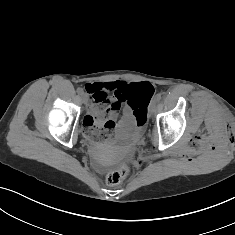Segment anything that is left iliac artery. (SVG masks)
<instances>
[{
    "label": "left iliac artery",
    "instance_id": "obj_1",
    "mask_svg": "<svg viewBox=\"0 0 235 235\" xmlns=\"http://www.w3.org/2000/svg\"><path fill=\"white\" fill-rule=\"evenodd\" d=\"M161 99V94L158 93L155 95L154 100L159 101Z\"/></svg>",
    "mask_w": 235,
    "mask_h": 235
}]
</instances>
